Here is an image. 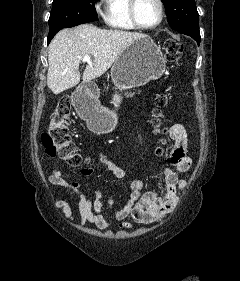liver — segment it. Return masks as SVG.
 Instances as JSON below:
<instances>
[{"label":"liver","mask_w":240,"mask_h":281,"mask_svg":"<svg viewBox=\"0 0 240 281\" xmlns=\"http://www.w3.org/2000/svg\"><path fill=\"white\" fill-rule=\"evenodd\" d=\"M143 36L136 32L99 29L91 24L59 31L48 49L49 89L59 94L76 86L81 77L79 64L85 55L93 57V65L86 66L83 82L102 76L131 43Z\"/></svg>","instance_id":"obj_1"}]
</instances>
